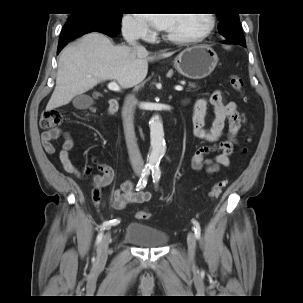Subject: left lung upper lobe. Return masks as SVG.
<instances>
[{"instance_id":"1","label":"left lung upper lobe","mask_w":303,"mask_h":303,"mask_svg":"<svg viewBox=\"0 0 303 303\" xmlns=\"http://www.w3.org/2000/svg\"><path fill=\"white\" fill-rule=\"evenodd\" d=\"M220 24L219 31L220 33L227 38V41L230 42H245L239 14L237 13H220L217 14Z\"/></svg>"}]
</instances>
